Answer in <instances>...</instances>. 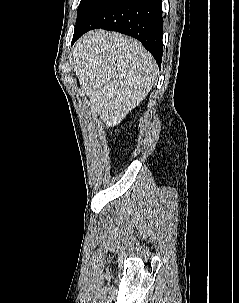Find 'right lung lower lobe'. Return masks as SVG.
Here are the masks:
<instances>
[{
	"label": "right lung lower lobe",
	"mask_w": 239,
	"mask_h": 303,
	"mask_svg": "<svg viewBox=\"0 0 239 303\" xmlns=\"http://www.w3.org/2000/svg\"><path fill=\"white\" fill-rule=\"evenodd\" d=\"M161 8V0H107L85 27L74 33L71 45L95 28L117 31L138 39L160 66L163 36Z\"/></svg>",
	"instance_id": "98d812e1"
}]
</instances>
